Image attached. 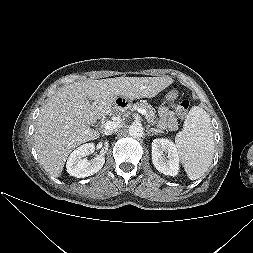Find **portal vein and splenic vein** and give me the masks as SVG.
Wrapping results in <instances>:
<instances>
[{
	"label": "portal vein and splenic vein",
	"mask_w": 253,
	"mask_h": 253,
	"mask_svg": "<svg viewBox=\"0 0 253 253\" xmlns=\"http://www.w3.org/2000/svg\"><path fill=\"white\" fill-rule=\"evenodd\" d=\"M137 111L139 113H141L142 115H145L146 111L144 109H137ZM121 120H117V121H107L104 123L103 127L106 131H110L113 130L115 128L118 127V125L120 124Z\"/></svg>",
	"instance_id": "18ae733b"
}]
</instances>
